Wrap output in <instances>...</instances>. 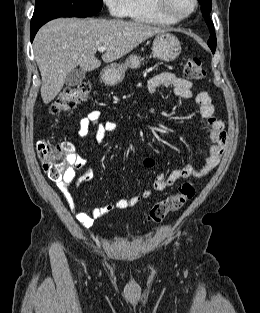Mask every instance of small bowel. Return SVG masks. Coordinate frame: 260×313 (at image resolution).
Listing matches in <instances>:
<instances>
[{"label": "small bowel", "instance_id": "1", "mask_svg": "<svg viewBox=\"0 0 260 313\" xmlns=\"http://www.w3.org/2000/svg\"><path fill=\"white\" fill-rule=\"evenodd\" d=\"M162 88H170L175 96L182 99H191L193 97L191 82L172 73H159L149 80L148 91L150 93H155ZM195 100L203 118L210 127V139L212 145L204 153V164L199 168H195L194 166L187 164L173 170L168 176L164 173L157 174L153 189L144 190L141 196L119 199L111 204L95 207L90 212H85L78 206L69 189L70 185H72L77 178V170L82 166V159L75 153L71 155V167L68 169L64 177L57 183V186L62 192L69 210L85 228H91L96 219L106 215L113 209H127L133 207L137 205L141 199L150 198L153 191H165L178 180L183 178L203 177L217 166L227 146L224 123L215 114V108L212 104L211 97L206 91L199 92L196 95ZM100 118L101 112L96 109L89 111L84 117H82L79 121V137H87L90 128L93 127L96 131L97 140L102 141L106 134L116 130L117 124L114 121L109 120L102 122ZM143 164L149 168L153 167L154 160L149 157H145L143 159ZM89 178V172H86L81 176L82 180H88Z\"/></svg>", "mask_w": 260, "mask_h": 313}]
</instances>
